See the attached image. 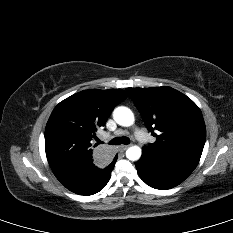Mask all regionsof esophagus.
I'll list each match as a JSON object with an SVG mask.
<instances>
[{
    "label": "esophagus",
    "instance_id": "esophagus-1",
    "mask_svg": "<svg viewBox=\"0 0 233 233\" xmlns=\"http://www.w3.org/2000/svg\"><path fill=\"white\" fill-rule=\"evenodd\" d=\"M128 147H129V145H121V146H119V151H120V152H123V151H125Z\"/></svg>",
    "mask_w": 233,
    "mask_h": 233
}]
</instances>
